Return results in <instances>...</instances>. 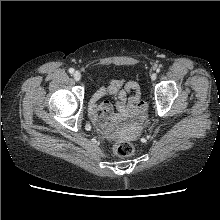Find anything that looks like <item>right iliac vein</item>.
Masks as SVG:
<instances>
[{"label": "right iliac vein", "mask_w": 220, "mask_h": 220, "mask_svg": "<svg viewBox=\"0 0 220 220\" xmlns=\"http://www.w3.org/2000/svg\"><path fill=\"white\" fill-rule=\"evenodd\" d=\"M73 77L76 81H80L81 80V73L79 71H75L73 74Z\"/></svg>", "instance_id": "1"}]
</instances>
